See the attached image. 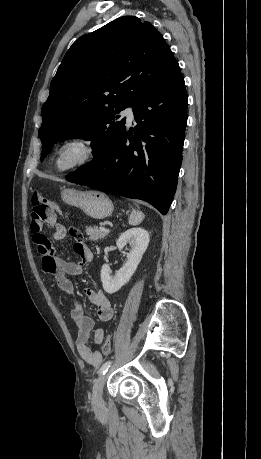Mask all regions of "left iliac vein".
Listing matches in <instances>:
<instances>
[{
  "label": "left iliac vein",
  "mask_w": 261,
  "mask_h": 459,
  "mask_svg": "<svg viewBox=\"0 0 261 459\" xmlns=\"http://www.w3.org/2000/svg\"><path fill=\"white\" fill-rule=\"evenodd\" d=\"M107 375H102L93 387L92 405L95 410H101L104 406L103 388Z\"/></svg>",
  "instance_id": "left-iliac-vein-1"
}]
</instances>
